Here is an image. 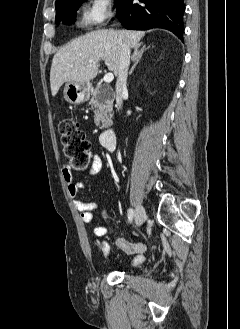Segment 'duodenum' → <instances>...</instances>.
I'll return each mask as SVG.
<instances>
[{
	"label": "duodenum",
	"mask_w": 240,
	"mask_h": 329,
	"mask_svg": "<svg viewBox=\"0 0 240 329\" xmlns=\"http://www.w3.org/2000/svg\"><path fill=\"white\" fill-rule=\"evenodd\" d=\"M115 135L116 132L113 129H108L101 133L100 144L105 150L111 151L114 149Z\"/></svg>",
	"instance_id": "1"
}]
</instances>
